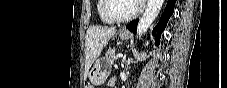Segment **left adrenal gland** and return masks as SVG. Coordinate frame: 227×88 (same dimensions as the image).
<instances>
[{"mask_svg": "<svg viewBox=\"0 0 227 88\" xmlns=\"http://www.w3.org/2000/svg\"><path fill=\"white\" fill-rule=\"evenodd\" d=\"M126 62V57H124V59L122 60V63L124 64Z\"/></svg>", "mask_w": 227, "mask_h": 88, "instance_id": "obj_1", "label": "left adrenal gland"}]
</instances>
